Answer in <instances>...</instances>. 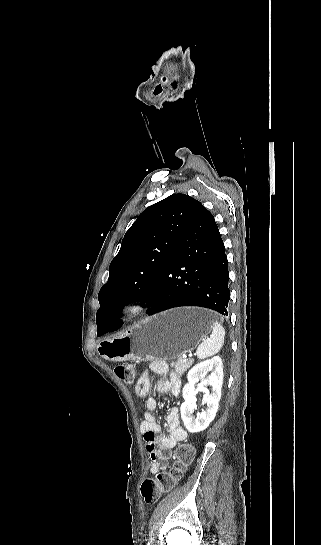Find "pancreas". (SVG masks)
<instances>
[{
	"instance_id": "obj_1",
	"label": "pancreas",
	"mask_w": 321,
	"mask_h": 545,
	"mask_svg": "<svg viewBox=\"0 0 321 545\" xmlns=\"http://www.w3.org/2000/svg\"><path fill=\"white\" fill-rule=\"evenodd\" d=\"M194 359H178L176 363H170V367H174V371L176 375H184L186 373L187 369L193 365Z\"/></svg>"
}]
</instances>
